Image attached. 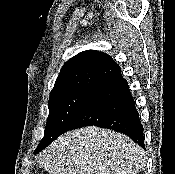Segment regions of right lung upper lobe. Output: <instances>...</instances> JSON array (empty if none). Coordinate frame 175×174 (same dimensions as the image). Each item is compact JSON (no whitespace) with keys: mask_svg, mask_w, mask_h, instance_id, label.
I'll return each instance as SVG.
<instances>
[{"mask_svg":"<svg viewBox=\"0 0 175 174\" xmlns=\"http://www.w3.org/2000/svg\"><path fill=\"white\" fill-rule=\"evenodd\" d=\"M118 71L119 65L106 53L83 51L64 64L50 97L75 91H92Z\"/></svg>","mask_w":175,"mask_h":174,"instance_id":"obj_1","label":"right lung upper lobe"}]
</instances>
